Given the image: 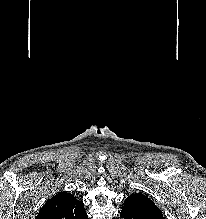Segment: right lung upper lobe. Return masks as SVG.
<instances>
[{"instance_id": "obj_1", "label": "right lung upper lobe", "mask_w": 206, "mask_h": 219, "mask_svg": "<svg viewBox=\"0 0 206 219\" xmlns=\"http://www.w3.org/2000/svg\"><path fill=\"white\" fill-rule=\"evenodd\" d=\"M36 219H88L83 202L72 194L59 192L41 208Z\"/></svg>"}]
</instances>
